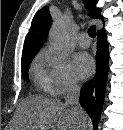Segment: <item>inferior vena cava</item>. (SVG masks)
<instances>
[{
	"label": "inferior vena cava",
	"instance_id": "obj_1",
	"mask_svg": "<svg viewBox=\"0 0 123 130\" xmlns=\"http://www.w3.org/2000/svg\"><path fill=\"white\" fill-rule=\"evenodd\" d=\"M79 97H80V86L74 80H70L68 84V90L65 98V104L75 106L74 110L76 113L80 110L79 107Z\"/></svg>",
	"mask_w": 123,
	"mask_h": 130
}]
</instances>
